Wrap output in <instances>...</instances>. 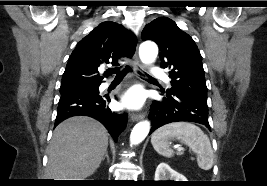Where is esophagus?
Returning <instances> with one entry per match:
<instances>
[{
	"label": "esophagus",
	"mask_w": 267,
	"mask_h": 186,
	"mask_svg": "<svg viewBox=\"0 0 267 186\" xmlns=\"http://www.w3.org/2000/svg\"><path fill=\"white\" fill-rule=\"evenodd\" d=\"M133 69H134L135 73H136L138 76L143 75L144 66H143L142 63L140 62V60H139L137 54L134 55V67H133ZM145 116H146V112L133 113V114L130 116V119H131V121H139V120L144 119Z\"/></svg>",
	"instance_id": "esophagus-1"
}]
</instances>
